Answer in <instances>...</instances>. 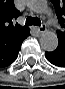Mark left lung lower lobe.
Returning <instances> with one entry per match:
<instances>
[{
	"mask_svg": "<svg viewBox=\"0 0 65 89\" xmlns=\"http://www.w3.org/2000/svg\"><path fill=\"white\" fill-rule=\"evenodd\" d=\"M58 36V47L52 52H45V56L50 63L55 66L65 67V36Z\"/></svg>",
	"mask_w": 65,
	"mask_h": 89,
	"instance_id": "1",
	"label": "left lung lower lobe"
}]
</instances>
